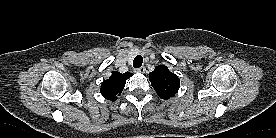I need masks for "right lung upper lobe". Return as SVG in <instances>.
<instances>
[{
	"label": "right lung upper lobe",
	"instance_id": "obj_1",
	"mask_svg": "<svg viewBox=\"0 0 276 138\" xmlns=\"http://www.w3.org/2000/svg\"><path fill=\"white\" fill-rule=\"evenodd\" d=\"M132 74L125 72L121 74L113 71L109 79L104 80L101 85V94L107 100L116 101L117 96L123 91L126 84V80L130 78Z\"/></svg>",
	"mask_w": 276,
	"mask_h": 138
}]
</instances>
